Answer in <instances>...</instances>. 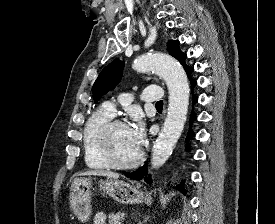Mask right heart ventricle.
Segmentation results:
<instances>
[{"label":"right heart ventricle","instance_id":"right-heart-ventricle-1","mask_svg":"<svg viewBox=\"0 0 275 224\" xmlns=\"http://www.w3.org/2000/svg\"><path fill=\"white\" fill-rule=\"evenodd\" d=\"M110 118L111 115L101 108L92 113L84 126L83 153L85 163L90 169L102 170L109 168L98 151L96 135L100 126Z\"/></svg>","mask_w":275,"mask_h":224}]
</instances>
